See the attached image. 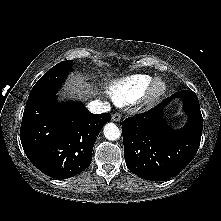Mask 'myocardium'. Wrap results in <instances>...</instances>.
Returning a JSON list of instances; mask_svg holds the SVG:
<instances>
[{
	"mask_svg": "<svg viewBox=\"0 0 221 221\" xmlns=\"http://www.w3.org/2000/svg\"><path fill=\"white\" fill-rule=\"evenodd\" d=\"M168 85L161 77L152 79L144 95L143 102L146 106H153L158 103L167 93Z\"/></svg>",
	"mask_w": 221,
	"mask_h": 221,
	"instance_id": "1",
	"label": "myocardium"
}]
</instances>
